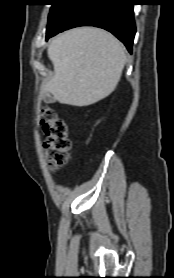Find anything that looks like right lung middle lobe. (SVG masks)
I'll return each instance as SVG.
<instances>
[{"mask_svg":"<svg viewBox=\"0 0 174 278\" xmlns=\"http://www.w3.org/2000/svg\"><path fill=\"white\" fill-rule=\"evenodd\" d=\"M52 5L47 30L54 28L78 0H49Z\"/></svg>","mask_w":174,"mask_h":278,"instance_id":"obj_1","label":"right lung middle lobe"}]
</instances>
